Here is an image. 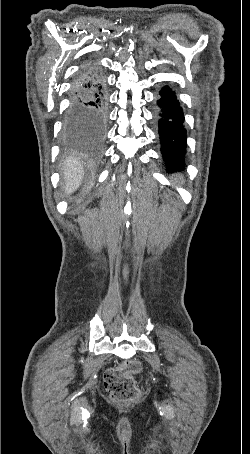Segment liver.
I'll list each match as a JSON object with an SVG mask.
<instances>
[{"mask_svg": "<svg viewBox=\"0 0 250 454\" xmlns=\"http://www.w3.org/2000/svg\"><path fill=\"white\" fill-rule=\"evenodd\" d=\"M84 176L83 166L74 159H67L66 165L62 170L64 180V190L66 194L75 192L82 183Z\"/></svg>", "mask_w": 250, "mask_h": 454, "instance_id": "6515ba94", "label": "liver"}]
</instances>
